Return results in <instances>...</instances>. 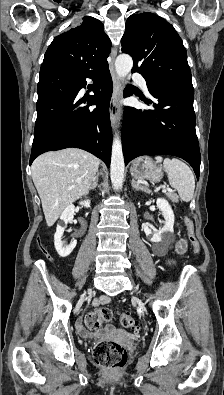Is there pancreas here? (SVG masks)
<instances>
[{
    "label": "pancreas",
    "instance_id": "obj_1",
    "mask_svg": "<svg viewBox=\"0 0 224 395\" xmlns=\"http://www.w3.org/2000/svg\"><path fill=\"white\" fill-rule=\"evenodd\" d=\"M167 195V197L170 199V200H172L173 202H175V203H177L179 200H178V196L176 195V194H174V193H167L166 194Z\"/></svg>",
    "mask_w": 224,
    "mask_h": 395
}]
</instances>
